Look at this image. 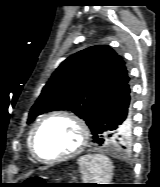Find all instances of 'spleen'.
<instances>
[{"label":"spleen","instance_id":"obj_1","mask_svg":"<svg viewBox=\"0 0 160 187\" xmlns=\"http://www.w3.org/2000/svg\"><path fill=\"white\" fill-rule=\"evenodd\" d=\"M81 178L86 183L108 184L112 179L113 165L102 154L85 155L79 158Z\"/></svg>","mask_w":160,"mask_h":187}]
</instances>
